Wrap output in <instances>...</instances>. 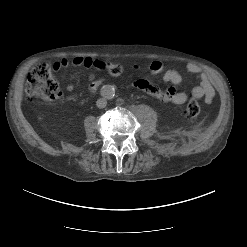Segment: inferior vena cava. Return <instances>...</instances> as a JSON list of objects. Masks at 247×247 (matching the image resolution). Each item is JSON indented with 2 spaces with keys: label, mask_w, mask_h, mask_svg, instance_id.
I'll use <instances>...</instances> for the list:
<instances>
[{
  "label": "inferior vena cava",
  "mask_w": 247,
  "mask_h": 247,
  "mask_svg": "<svg viewBox=\"0 0 247 247\" xmlns=\"http://www.w3.org/2000/svg\"><path fill=\"white\" fill-rule=\"evenodd\" d=\"M96 105L98 108H104L107 105V101L104 98H100L97 100Z\"/></svg>",
  "instance_id": "obj_1"
}]
</instances>
